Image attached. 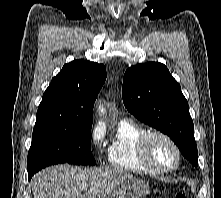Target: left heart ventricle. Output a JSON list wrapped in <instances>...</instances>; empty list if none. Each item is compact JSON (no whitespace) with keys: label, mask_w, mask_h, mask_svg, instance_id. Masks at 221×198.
Masks as SVG:
<instances>
[{"label":"left heart ventricle","mask_w":221,"mask_h":198,"mask_svg":"<svg viewBox=\"0 0 221 198\" xmlns=\"http://www.w3.org/2000/svg\"><path fill=\"white\" fill-rule=\"evenodd\" d=\"M149 155L153 163L168 168L176 162V153L173 147L161 137H153L149 143Z\"/></svg>","instance_id":"left-heart-ventricle-1"}]
</instances>
